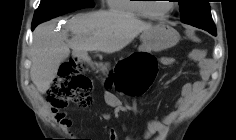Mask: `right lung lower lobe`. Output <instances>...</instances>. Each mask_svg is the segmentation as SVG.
<instances>
[{
    "label": "right lung lower lobe",
    "instance_id": "1",
    "mask_svg": "<svg viewBox=\"0 0 236 140\" xmlns=\"http://www.w3.org/2000/svg\"><path fill=\"white\" fill-rule=\"evenodd\" d=\"M37 25H32V30L36 27Z\"/></svg>",
    "mask_w": 236,
    "mask_h": 140
}]
</instances>
